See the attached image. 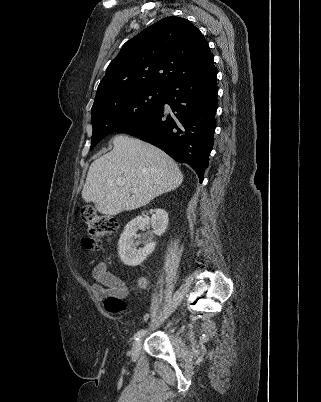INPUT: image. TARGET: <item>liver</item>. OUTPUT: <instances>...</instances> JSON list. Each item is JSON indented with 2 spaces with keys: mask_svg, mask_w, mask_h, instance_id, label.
Instances as JSON below:
<instances>
[{
  "mask_svg": "<svg viewBox=\"0 0 321 402\" xmlns=\"http://www.w3.org/2000/svg\"><path fill=\"white\" fill-rule=\"evenodd\" d=\"M113 144L112 151L90 165L81 193L99 213L115 216L140 208L182 184L178 165L161 149L127 135L115 136ZM117 179L124 184L117 185Z\"/></svg>",
  "mask_w": 321,
  "mask_h": 402,
  "instance_id": "1",
  "label": "liver"
}]
</instances>
